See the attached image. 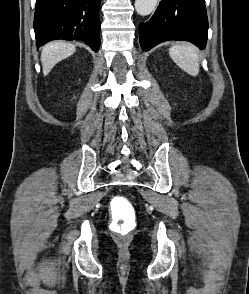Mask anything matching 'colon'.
<instances>
[{"label": "colon", "instance_id": "5ec220e1", "mask_svg": "<svg viewBox=\"0 0 249 294\" xmlns=\"http://www.w3.org/2000/svg\"><path fill=\"white\" fill-rule=\"evenodd\" d=\"M127 200L123 197H114L111 207L114 217L110 224L111 230L119 235H128L135 227V223L129 213H127Z\"/></svg>", "mask_w": 249, "mask_h": 294}]
</instances>
